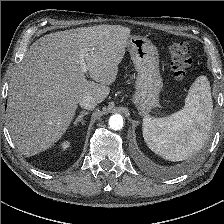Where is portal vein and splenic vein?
Returning a JSON list of instances; mask_svg holds the SVG:
<instances>
[{"instance_id":"1","label":"portal vein and splenic vein","mask_w":224,"mask_h":224,"mask_svg":"<svg viewBox=\"0 0 224 224\" xmlns=\"http://www.w3.org/2000/svg\"><path fill=\"white\" fill-rule=\"evenodd\" d=\"M88 50L87 49H82L80 51V55H79V61H80V65L82 68L83 72H87V66H86V62H85V58L87 56Z\"/></svg>"}]
</instances>
